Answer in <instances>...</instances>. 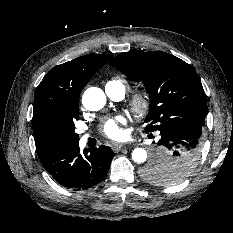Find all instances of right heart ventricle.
<instances>
[{"mask_svg": "<svg viewBox=\"0 0 233 233\" xmlns=\"http://www.w3.org/2000/svg\"><path fill=\"white\" fill-rule=\"evenodd\" d=\"M128 82L121 76H114L107 80L105 88L109 92H123L125 93Z\"/></svg>", "mask_w": 233, "mask_h": 233, "instance_id": "1", "label": "right heart ventricle"}]
</instances>
